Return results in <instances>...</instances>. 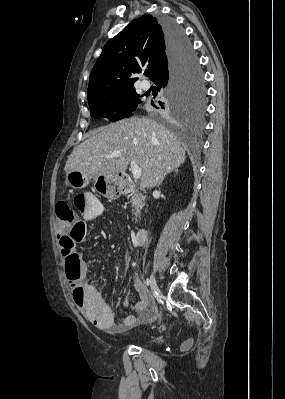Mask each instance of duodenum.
Returning <instances> with one entry per match:
<instances>
[{
  "mask_svg": "<svg viewBox=\"0 0 285 399\" xmlns=\"http://www.w3.org/2000/svg\"><path fill=\"white\" fill-rule=\"evenodd\" d=\"M125 189L129 191L131 189V184L126 182ZM147 237H148V229L145 227L138 229L135 233V241L138 244L143 243L147 239Z\"/></svg>",
  "mask_w": 285,
  "mask_h": 399,
  "instance_id": "obj_1",
  "label": "duodenum"
}]
</instances>
